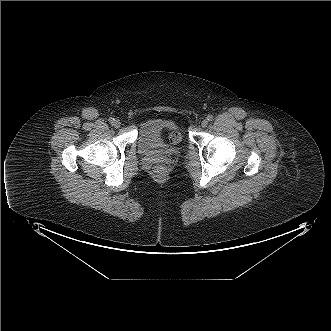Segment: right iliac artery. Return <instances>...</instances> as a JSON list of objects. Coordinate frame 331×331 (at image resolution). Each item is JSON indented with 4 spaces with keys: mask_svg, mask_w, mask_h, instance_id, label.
Instances as JSON below:
<instances>
[{
    "mask_svg": "<svg viewBox=\"0 0 331 331\" xmlns=\"http://www.w3.org/2000/svg\"><path fill=\"white\" fill-rule=\"evenodd\" d=\"M114 121H115V119L114 118H109V122L111 123V124H113L114 123Z\"/></svg>",
    "mask_w": 331,
    "mask_h": 331,
    "instance_id": "obj_1",
    "label": "right iliac artery"
}]
</instances>
